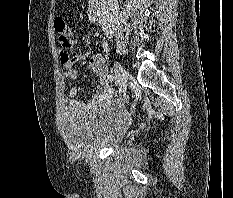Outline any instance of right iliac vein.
I'll return each mask as SVG.
<instances>
[{
    "instance_id": "1",
    "label": "right iliac vein",
    "mask_w": 233,
    "mask_h": 198,
    "mask_svg": "<svg viewBox=\"0 0 233 198\" xmlns=\"http://www.w3.org/2000/svg\"><path fill=\"white\" fill-rule=\"evenodd\" d=\"M114 72L117 78V83L120 88V91L125 92L127 88V80L129 74L119 62L114 63Z\"/></svg>"
}]
</instances>
